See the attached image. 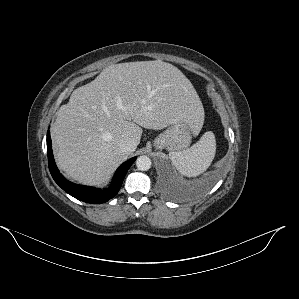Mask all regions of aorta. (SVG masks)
<instances>
[{"label": "aorta", "mask_w": 299, "mask_h": 299, "mask_svg": "<svg viewBox=\"0 0 299 299\" xmlns=\"http://www.w3.org/2000/svg\"><path fill=\"white\" fill-rule=\"evenodd\" d=\"M151 159L148 156H139L136 160L138 170L147 171L151 168Z\"/></svg>", "instance_id": "aorta-1"}]
</instances>
